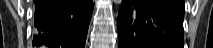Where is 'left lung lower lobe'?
Here are the masks:
<instances>
[{
  "label": "left lung lower lobe",
  "instance_id": "1",
  "mask_svg": "<svg viewBox=\"0 0 213 48\" xmlns=\"http://www.w3.org/2000/svg\"><path fill=\"white\" fill-rule=\"evenodd\" d=\"M184 0H123L119 48H183Z\"/></svg>",
  "mask_w": 213,
  "mask_h": 48
}]
</instances>
